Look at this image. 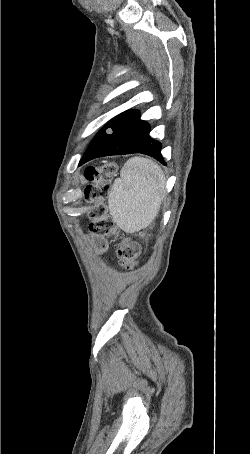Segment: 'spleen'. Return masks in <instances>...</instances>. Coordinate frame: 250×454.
<instances>
[{"mask_svg":"<svg viewBox=\"0 0 250 454\" xmlns=\"http://www.w3.org/2000/svg\"><path fill=\"white\" fill-rule=\"evenodd\" d=\"M164 193L165 177L155 162L143 157L129 159L108 196L114 222L127 233L147 228L158 215Z\"/></svg>","mask_w":250,"mask_h":454,"instance_id":"obj_1","label":"spleen"}]
</instances>
